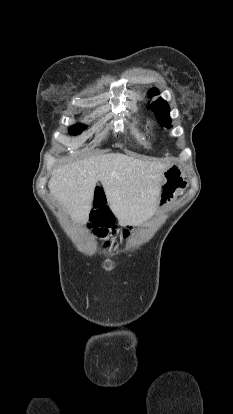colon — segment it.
Segmentation results:
<instances>
[{"label": "colon", "mask_w": 233, "mask_h": 414, "mask_svg": "<svg viewBox=\"0 0 233 414\" xmlns=\"http://www.w3.org/2000/svg\"><path fill=\"white\" fill-rule=\"evenodd\" d=\"M91 224L95 227L96 233L100 237L106 236H126L127 230L123 233L119 231L117 226L114 223L112 214L110 211L108 212H99L95 210L92 212L90 217Z\"/></svg>", "instance_id": "colon-1"}]
</instances>
